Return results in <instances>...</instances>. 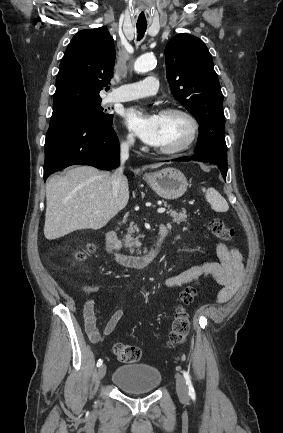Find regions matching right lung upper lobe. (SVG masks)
Masks as SVG:
<instances>
[{
	"label": "right lung upper lobe",
	"mask_w": 283,
	"mask_h": 433,
	"mask_svg": "<svg viewBox=\"0 0 283 433\" xmlns=\"http://www.w3.org/2000/svg\"><path fill=\"white\" fill-rule=\"evenodd\" d=\"M115 62L113 38L106 27L79 31L61 60L56 78L53 112L101 101Z\"/></svg>",
	"instance_id": "right-lung-upper-lobe-1"
}]
</instances>
